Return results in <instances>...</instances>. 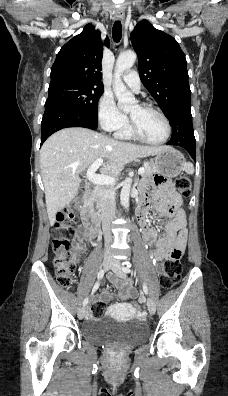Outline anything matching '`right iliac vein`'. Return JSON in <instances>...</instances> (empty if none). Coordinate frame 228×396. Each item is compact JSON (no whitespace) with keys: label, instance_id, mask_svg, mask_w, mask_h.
Masks as SVG:
<instances>
[{"label":"right iliac vein","instance_id":"right-iliac-vein-1","mask_svg":"<svg viewBox=\"0 0 228 396\" xmlns=\"http://www.w3.org/2000/svg\"><path fill=\"white\" fill-rule=\"evenodd\" d=\"M112 264H113V262H112L111 257L109 255H106L103 259V268L105 270H109L111 268ZM85 313H86L85 307H81L78 310V318L82 320L85 317Z\"/></svg>","mask_w":228,"mask_h":396}]
</instances>
